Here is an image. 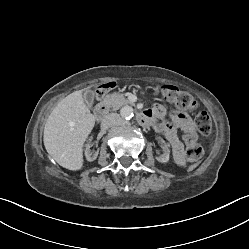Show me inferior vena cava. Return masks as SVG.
Masks as SVG:
<instances>
[{
    "mask_svg": "<svg viewBox=\"0 0 249 249\" xmlns=\"http://www.w3.org/2000/svg\"><path fill=\"white\" fill-rule=\"evenodd\" d=\"M122 123V118L116 113H111L105 116L101 122L102 129H108L113 126L120 125Z\"/></svg>",
    "mask_w": 249,
    "mask_h": 249,
    "instance_id": "obj_1",
    "label": "inferior vena cava"
}]
</instances>
